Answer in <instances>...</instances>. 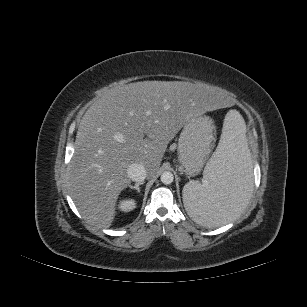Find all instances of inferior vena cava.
Here are the masks:
<instances>
[{"instance_id": "inferior-vena-cava-1", "label": "inferior vena cava", "mask_w": 307, "mask_h": 307, "mask_svg": "<svg viewBox=\"0 0 307 307\" xmlns=\"http://www.w3.org/2000/svg\"><path fill=\"white\" fill-rule=\"evenodd\" d=\"M128 177L134 182H142L145 180L147 171L142 164L133 163L127 168Z\"/></svg>"}]
</instances>
